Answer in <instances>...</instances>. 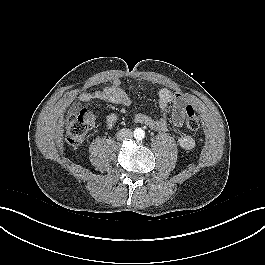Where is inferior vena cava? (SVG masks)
Segmentation results:
<instances>
[{"instance_id":"inferior-vena-cava-1","label":"inferior vena cava","mask_w":265,"mask_h":265,"mask_svg":"<svg viewBox=\"0 0 265 265\" xmlns=\"http://www.w3.org/2000/svg\"><path fill=\"white\" fill-rule=\"evenodd\" d=\"M133 134L130 129L123 128L117 133L118 140H126L132 138Z\"/></svg>"}]
</instances>
